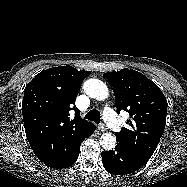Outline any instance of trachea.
<instances>
[{"label":"trachea","mask_w":187,"mask_h":187,"mask_svg":"<svg viewBox=\"0 0 187 187\" xmlns=\"http://www.w3.org/2000/svg\"><path fill=\"white\" fill-rule=\"evenodd\" d=\"M85 118L99 124L100 123V112L97 109H93L86 114Z\"/></svg>","instance_id":"1"}]
</instances>
